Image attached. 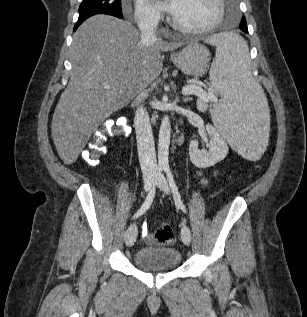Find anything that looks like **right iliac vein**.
I'll use <instances>...</instances> for the list:
<instances>
[{"label":"right iliac vein","mask_w":307,"mask_h":317,"mask_svg":"<svg viewBox=\"0 0 307 317\" xmlns=\"http://www.w3.org/2000/svg\"><path fill=\"white\" fill-rule=\"evenodd\" d=\"M154 183V176H146L144 178V187L146 191H149ZM137 238V225L131 224L125 233V243L127 246H132Z\"/></svg>","instance_id":"63e3f726"}]
</instances>
